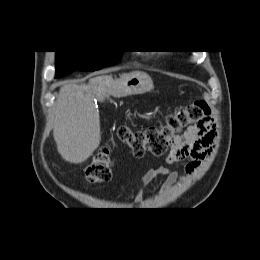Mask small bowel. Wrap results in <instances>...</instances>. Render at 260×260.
Here are the masks:
<instances>
[{"instance_id": "c3829d8e", "label": "small bowel", "mask_w": 260, "mask_h": 260, "mask_svg": "<svg viewBox=\"0 0 260 260\" xmlns=\"http://www.w3.org/2000/svg\"><path fill=\"white\" fill-rule=\"evenodd\" d=\"M215 138L214 125L210 119L188 127L183 135L176 137L166 158L167 166L149 169L141 179L140 191L158 176H166L162 190L168 189L184 175L197 170L210 155ZM171 166L181 167L183 173L172 169ZM136 203H142L141 192L136 196Z\"/></svg>"}]
</instances>
